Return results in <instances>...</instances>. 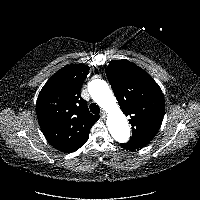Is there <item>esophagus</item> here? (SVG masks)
<instances>
[{
  "label": "esophagus",
  "mask_w": 200,
  "mask_h": 200,
  "mask_svg": "<svg viewBox=\"0 0 200 200\" xmlns=\"http://www.w3.org/2000/svg\"><path fill=\"white\" fill-rule=\"evenodd\" d=\"M100 117H101L102 119H105V118H106V113L103 111V112L100 114Z\"/></svg>",
  "instance_id": "34e87169"
}]
</instances>
